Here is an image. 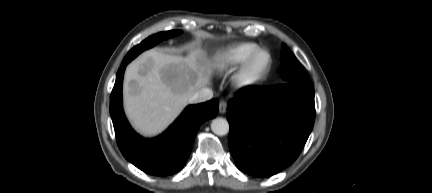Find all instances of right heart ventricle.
<instances>
[{"mask_svg":"<svg viewBox=\"0 0 432 193\" xmlns=\"http://www.w3.org/2000/svg\"><path fill=\"white\" fill-rule=\"evenodd\" d=\"M259 48L254 42H241L221 50L215 56L213 67L220 73H228L241 66Z\"/></svg>","mask_w":432,"mask_h":193,"instance_id":"e07e8e85","label":"right heart ventricle"}]
</instances>
